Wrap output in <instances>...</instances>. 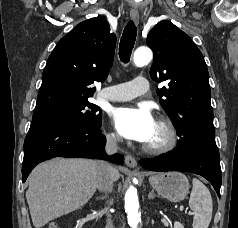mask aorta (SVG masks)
I'll use <instances>...</instances> for the list:
<instances>
[{
  "label": "aorta",
  "mask_w": 238,
  "mask_h": 228,
  "mask_svg": "<svg viewBox=\"0 0 238 228\" xmlns=\"http://www.w3.org/2000/svg\"><path fill=\"white\" fill-rule=\"evenodd\" d=\"M152 51L147 47H139L134 52L133 61L136 66L147 65L152 60ZM125 211L127 213L128 224L131 228H139L141 224L140 214L138 212L139 202L137 191L130 186L125 193Z\"/></svg>",
  "instance_id": "762f6f07"
}]
</instances>
